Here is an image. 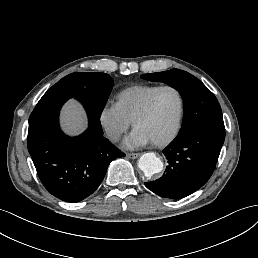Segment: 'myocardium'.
<instances>
[{"mask_svg": "<svg viewBox=\"0 0 258 258\" xmlns=\"http://www.w3.org/2000/svg\"><path fill=\"white\" fill-rule=\"evenodd\" d=\"M167 89L173 90L178 97V115H177L175 127H174L172 133L166 138H155V137L146 135L141 130V124L149 116L151 106H152L155 96L160 91L167 90ZM182 115H183V99H182V95L180 94V92L176 88L169 86V85L160 86L148 97L143 110L141 111V113L139 114V116L137 117V119L134 122V129L137 134H140L142 137H144L145 139H147L148 141H150L153 144L167 145L175 139V137L180 129V126H181Z\"/></svg>", "mask_w": 258, "mask_h": 258, "instance_id": "f54148a6", "label": "myocardium"}]
</instances>
